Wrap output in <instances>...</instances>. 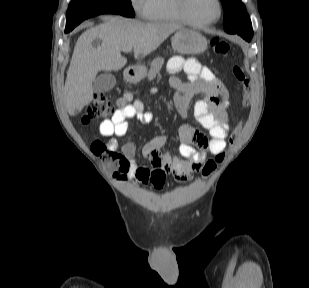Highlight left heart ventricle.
Instances as JSON below:
<instances>
[{
	"label": "left heart ventricle",
	"mask_w": 309,
	"mask_h": 288,
	"mask_svg": "<svg viewBox=\"0 0 309 288\" xmlns=\"http://www.w3.org/2000/svg\"><path fill=\"white\" fill-rule=\"evenodd\" d=\"M189 15L196 21L204 22L214 19L218 13L216 0H187Z\"/></svg>",
	"instance_id": "obj_1"
}]
</instances>
